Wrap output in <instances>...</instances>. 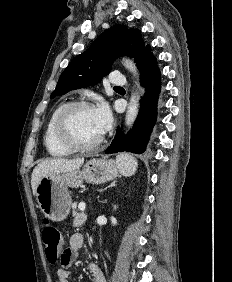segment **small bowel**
<instances>
[{
    "label": "small bowel",
    "instance_id": "obj_1",
    "mask_svg": "<svg viewBox=\"0 0 232 282\" xmlns=\"http://www.w3.org/2000/svg\"><path fill=\"white\" fill-rule=\"evenodd\" d=\"M84 242L85 237L82 233H74L70 237L69 247L65 250V254L60 261V267L57 270L58 282H69L72 277V262L78 256ZM88 270L93 277V282H106L98 265L91 262L88 264Z\"/></svg>",
    "mask_w": 232,
    "mask_h": 282
}]
</instances>
